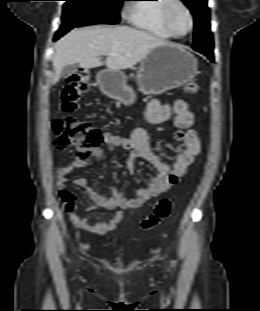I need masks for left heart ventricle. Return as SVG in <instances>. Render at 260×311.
Wrapping results in <instances>:
<instances>
[{"instance_id": "1", "label": "left heart ventricle", "mask_w": 260, "mask_h": 311, "mask_svg": "<svg viewBox=\"0 0 260 311\" xmlns=\"http://www.w3.org/2000/svg\"><path fill=\"white\" fill-rule=\"evenodd\" d=\"M170 22L178 34L186 33L190 26L187 13L178 5H175L171 11Z\"/></svg>"}]
</instances>
